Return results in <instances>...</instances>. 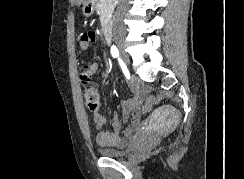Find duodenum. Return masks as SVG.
I'll return each mask as SVG.
<instances>
[{
	"label": "duodenum",
	"instance_id": "duodenum-1",
	"mask_svg": "<svg viewBox=\"0 0 244 179\" xmlns=\"http://www.w3.org/2000/svg\"><path fill=\"white\" fill-rule=\"evenodd\" d=\"M102 36L103 39L106 43H111L112 41V36H111V27L108 26V24L106 23L104 28L102 29Z\"/></svg>",
	"mask_w": 244,
	"mask_h": 179
}]
</instances>
